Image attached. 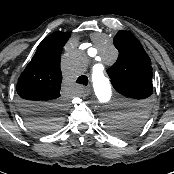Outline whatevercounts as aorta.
I'll return each mask as SVG.
<instances>
[{
	"label": "aorta",
	"instance_id": "obj_1",
	"mask_svg": "<svg viewBox=\"0 0 174 174\" xmlns=\"http://www.w3.org/2000/svg\"><path fill=\"white\" fill-rule=\"evenodd\" d=\"M105 55H109L112 60L116 59V50L112 44L106 42L103 50ZM93 86L98 106L101 110L100 122L109 125L111 118L123 117L125 112L121 109H114L116 103L111 84L106 76L101 72L93 74Z\"/></svg>",
	"mask_w": 174,
	"mask_h": 174
}]
</instances>
